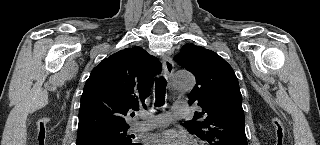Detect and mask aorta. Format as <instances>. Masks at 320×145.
<instances>
[{
	"label": "aorta",
	"mask_w": 320,
	"mask_h": 145,
	"mask_svg": "<svg viewBox=\"0 0 320 145\" xmlns=\"http://www.w3.org/2000/svg\"><path fill=\"white\" fill-rule=\"evenodd\" d=\"M173 85L176 89L189 90L195 85L194 76L186 71H177L173 75Z\"/></svg>",
	"instance_id": "obj_1"
}]
</instances>
